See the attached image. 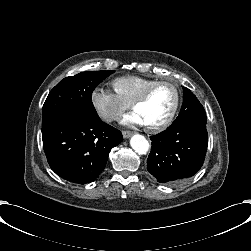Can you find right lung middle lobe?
I'll return each instance as SVG.
<instances>
[{
  "mask_svg": "<svg viewBox=\"0 0 251 251\" xmlns=\"http://www.w3.org/2000/svg\"><path fill=\"white\" fill-rule=\"evenodd\" d=\"M114 71H87L61 80L49 93L42 109V125L74 111L99 117L91 101L93 90Z\"/></svg>",
  "mask_w": 251,
  "mask_h": 251,
  "instance_id": "1",
  "label": "right lung middle lobe"
}]
</instances>
